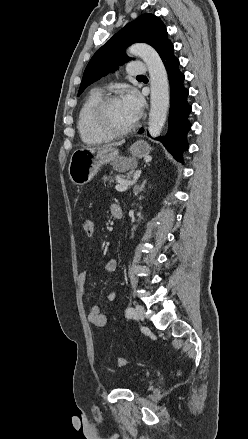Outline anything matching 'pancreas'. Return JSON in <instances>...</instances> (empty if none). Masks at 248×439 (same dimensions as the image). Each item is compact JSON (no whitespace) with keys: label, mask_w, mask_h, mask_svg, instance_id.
I'll list each match as a JSON object with an SVG mask.
<instances>
[{"label":"pancreas","mask_w":248,"mask_h":439,"mask_svg":"<svg viewBox=\"0 0 248 439\" xmlns=\"http://www.w3.org/2000/svg\"><path fill=\"white\" fill-rule=\"evenodd\" d=\"M130 178V174H127L126 176L124 175H109V176H104L103 177V181L104 182H109V184L117 182L120 183L121 181H127Z\"/></svg>","instance_id":"obj_1"}]
</instances>
